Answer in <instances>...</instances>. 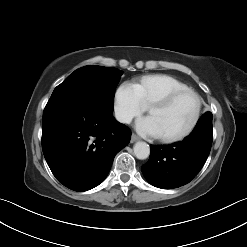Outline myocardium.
Returning <instances> with one entry per match:
<instances>
[{
    "mask_svg": "<svg viewBox=\"0 0 247 247\" xmlns=\"http://www.w3.org/2000/svg\"><path fill=\"white\" fill-rule=\"evenodd\" d=\"M185 94H191L197 99V110L195 113V116L193 118V121L189 125L187 129H185L183 132L174 135V136H160V139L167 143H173L178 142L180 140H183L184 138L188 137L198 126L201 115H202V107H203V99L200 96L198 92H196L193 89L186 88L182 90L172 91L164 96H162L160 99L152 103L148 107V112L150 113L153 109H165L169 107L178 97L185 95Z\"/></svg>",
    "mask_w": 247,
    "mask_h": 247,
    "instance_id": "f54148a6",
    "label": "myocardium"
}]
</instances>
